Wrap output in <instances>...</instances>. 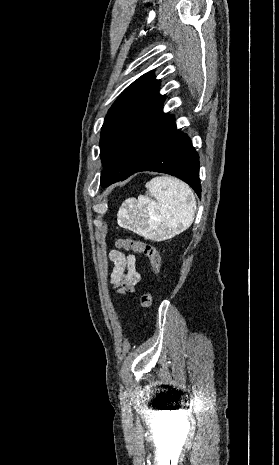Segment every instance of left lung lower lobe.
I'll use <instances>...</instances> for the list:
<instances>
[{
    "label": "left lung lower lobe",
    "instance_id": "0a47b994",
    "mask_svg": "<svg viewBox=\"0 0 279 465\" xmlns=\"http://www.w3.org/2000/svg\"><path fill=\"white\" fill-rule=\"evenodd\" d=\"M170 174L188 183L200 197L199 156L190 138L176 128L133 171ZM131 174V175H132Z\"/></svg>",
    "mask_w": 279,
    "mask_h": 465
}]
</instances>
